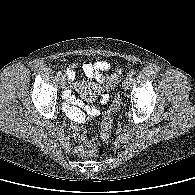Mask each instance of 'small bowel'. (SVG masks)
Returning a JSON list of instances; mask_svg holds the SVG:
<instances>
[{"mask_svg": "<svg viewBox=\"0 0 195 195\" xmlns=\"http://www.w3.org/2000/svg\"><path fill=\"white\" fill-rule=\"evenodd\" d=\"M75 64H71L67 67V78L69 85L72 89L80 92L87 99H91L92 95L100 94L102 103H106L109 96V86L116 80L117 73L105 78L102 74L103 71L110 69V64L106 61H98L95 63L84 62L82 70L85 75L94 79L95 83L78 82L76 81V74L74 71ZM64 99L67 104L65 105V113L75 123H82L86 117H97L100 115V109L95 106H86L81 100L77 99L70 90L64 93Z\"/></svg>", "mask_w": 195, "mask_h": 195, "instance_id": "small-bowel-1", "label": "small bowel"}]
</instances>
